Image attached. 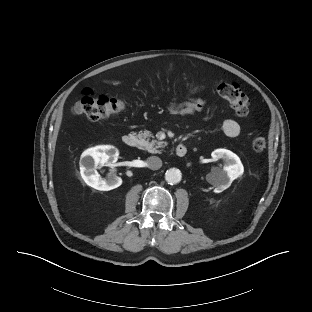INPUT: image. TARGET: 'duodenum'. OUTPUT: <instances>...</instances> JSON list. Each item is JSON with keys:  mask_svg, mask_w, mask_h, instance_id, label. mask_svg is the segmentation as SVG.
<instances>
[{"mask_svg": "<svg viewBox=\"0 0 312 312\" xmlns=\"http://www.w3.org/2000/svg\"><path fill=\"white\" fill-rule=\"evenodd\" d=\"M123 144L127 147H134L137 145V137L134 134H126L123 136ZM177 156L183 157L187 153V147L184 144H179L175 148Z\"/></svg>", "mask_w": 312, "mask_h": 312, "instance_id": "1", "label": "duodenum"}]
</instances>
